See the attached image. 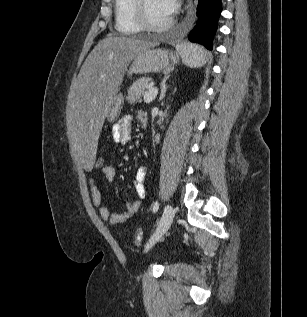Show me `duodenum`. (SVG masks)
Wrapping results in <instances>:
<instances>
[{
  "label": "duodenum",
  "mask_w": 307,
  "mask_h": 317,
  "mask_svg": "<svg viewBox=\"0 0 307 317\" xmlns=\"http://www.w3.org/2000/svg\"><path fill=\"white\" fill-rule=\"evenodd\" d=\"M141 123L144 127L147 126V116L141 118Z\"/></svg>",
  "instance_id": "1"
}]
</instances>
